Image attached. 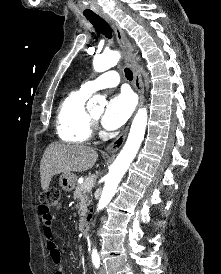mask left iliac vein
I'll use <instances>...</instances> for the list:
<instances>
[{
  "label": "left iliac vein",
  "instance_id": "4c4485c4",
  "mask_svg": "<svg viewBox=\"0 0 221 274\" xmlns=\"http://www.w3.org/2000/svg\"><path fill=\"white\" fill-rule=\"evenodd\" d=\"M98 274H106L105 268H104V267H101V268L99 269Z\"/></svg>",
  "mask_w": 221,
  "mask_h": 274
}]
</instances>
